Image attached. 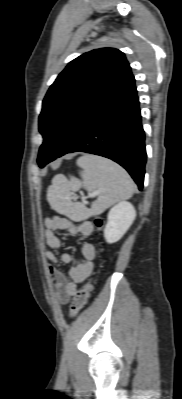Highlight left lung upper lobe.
<instances>
[{
	"mask_svg": "<svg viewBox=\"0 0 182 399\" xmlns=\"http://www.w3.org/2000/svg\"><path fill=\"white\" fill-rule=\"evenodd\" d=\"M133 80L124 53L117 49L92 50L71 61L43 100L39 131L44 141L39 166L56 159L89 118Z\"/></svg>",
	"mask_w": 182,
	"mask_h": 399,
	"instance_id": "obj_1",
	"label": "left lung upper lobe"
}]
</instances>
